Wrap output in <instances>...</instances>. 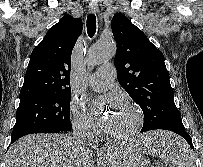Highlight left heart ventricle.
Wrapping results in <instances>:
<instances>
[{
  "instance_id": "left-heart-ventricle-1",
  "label": "left heart ventricle",
  "mask_w": 203,
  "mask_h": 167,
  "mask_svg": "<svg viewBox=\"0 0 203 167\" xmlns=\"http://www.w3.org/2000/svg\"><path fill=\"white\" fill-rule=\"evenodd\" d=\"M134 122L135 117L133 113L125 106H122L119 110L109 115L106 129L115 133H123L130 130Z\"/></svg>"
}]
</instances>
